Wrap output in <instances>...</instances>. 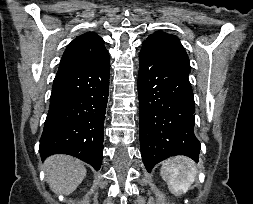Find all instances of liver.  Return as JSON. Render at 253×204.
I'll use <instances>...</instances> for the list:
<instances>
[{"mask_svg":"<svg viewBox=\"0 0 253 204\" xmlns=\"http://www.w3.org/2000/svg\"><path fill=\"white\" fill-rule=\"evenodd\" d=\"M46 181L56 194L70 195L86 176L84 164L68 155H52L44 162Z\"/></svg>","mask_w":253,"mask_h":204,"instance_id":"1","label":"liver"}]
</instances>
